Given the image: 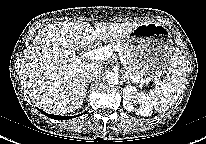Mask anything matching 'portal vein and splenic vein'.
I'll use <instances>...</instances> for the list:
<instances>
[{
  "instance_id": "1",
  "label": "portal vein and splenic vein",
  "mask_w": 206,
  "mask_h": 144,
  "mask_svg": "<svg viewBox=\"0 0 206 144\" xmlns=\"http://www.w3.org/2000/svg\"><path fill=\"white\" fill-rule=\"evenodd\" d=\"M119 59L123 65L126 64V60L124 59V56L122 55L121 51L117 49ZM112 55V48L109 46H103L101 48L93 49V50H87L80 54V57L82 59H91V60H103L104 58L110 57ZM133 81L139 82V77L137 76H131ZM155 83L157 85H160V82L158 79H155Z\"/></svg>"
}]
</instances>
